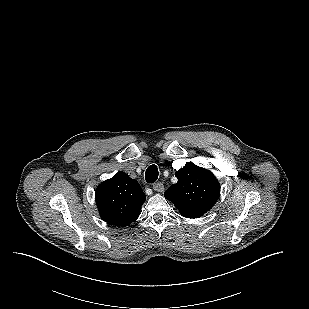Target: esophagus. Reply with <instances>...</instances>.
Instances as JSON below:
<instances>
[{
  "instance_id": "34e87169",
  "label": "esophagus",
  "mask_w": 309,
  "mask_h": 309,
  "mask_svg": "<svg viewBox=\"0 0 309 309\" xmlns=\"http://www.w3.org/2000/svg\"><path fill=\"white\" fill-rule=\"evenodd\" d=\"M153 190L157 192H163L164 191V185L161 182H157L153 184Z\"/></svg>"
}]
</instances>
